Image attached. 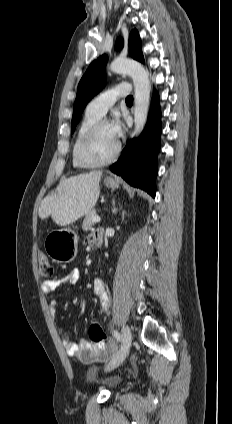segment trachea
<instances>
[{"instance_id":"obj_1","label":"trachea","mask_w":232,"mask_h":424,"mask_svg":"<svg viewBox=\"0 0 232 424\" xmlns=\"http://www.w3.org/2000/svg\"><path fill=\"white\" fill-rule=\"evenodd\" d=\"M126 102H127V103H132V102H133V97H132V96H128V97L126 98Z\"/></svg>"}]
</instances>
